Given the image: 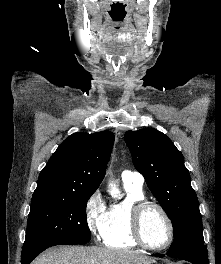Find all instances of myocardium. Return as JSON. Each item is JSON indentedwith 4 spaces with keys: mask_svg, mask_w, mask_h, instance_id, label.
<instances>
[{
    "mask_svg": "<svg viewBox=\"0 0 221 264\" xmlns=\"http://www.w3.org/2000/svg\"><path fill=\"white\" fill-rule=\"evenodd\" d=\"M148 208H156L164 217V219L167 222L168 229H169V238L167 242L162 246H153L146 242V240L143 237L142 234V219L145 211ZM129 225H130V232L133 240L140 245L143 248H146L148 250L152 251H162L167 249L174 241L175 236V229L172 222V219L168 212L165 210V208L160 205L159 203H156L154 201L150 200H140L136 203H134L130 209L129 214Z\"/></svg>",
    "mask_w": 221,
    "mask_h": 264,
    "instance_id": "1",
    "label": "myocardium"
}]
</instances>
